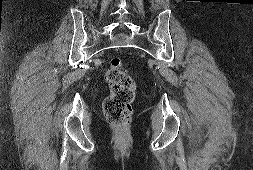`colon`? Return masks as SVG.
<instances>
[{"mask_svg":"<svg viewBox=\"0 0 253 170\" xmlns=\"http://www.w3.org/2000/svg\"><path fill=\"white\" fill-rule=\"evenodd\" d=\"M105 80L110 87V95L103 105L105 116L114 127L126 126L131 120L135 82L119 58L110 60Z\"/></svg>","mask_w":253,"mask_h":170,"instance_id":"obj_1","label":"colon"}]
</instances>
